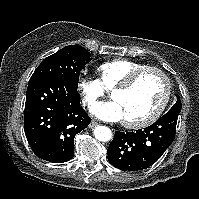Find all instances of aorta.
<instances>
[{
  "label": "aorta",
  "mask_w": 199,
  "mask_h": 199,
  "mask_svg": "<svg viewBox=\"0 0 199 199\" xmlns=\"http://www.w3.org/2000/svg\"><path fill=\"white\" fill-rule=\"evenodd\" d=\"M94 137L102 142H107L112 138L111 130L106 126H97L94 129Z\"/></svg>",
  "instance_id": "obj_1"
}]
</instances>
